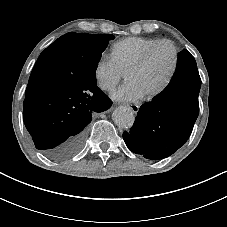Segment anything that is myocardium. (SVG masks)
I'll list each match as a JSON object with an SVG mask.
<instances>
[{
    "label": "myocardium",
    "instance_id": "1",
    "mask_svg": "<svg viewBox=\"0 0 227 227\" xmlns=\"http://www.w3.org/2000/svg\"><path fill=\"white\" fill-rule=\"evenodd\" d=\"M161 44L168 45L171 48L172 53H173L172 64H171L169 72H168L165 80L163 81V83L158 88H156L154 91H152L150 94L146 95V97L149 100L156 98L157 96L162 94L168 88V86L170 85V83L177 71L178 64H179V50H178V47L176 46V44L173 41L168 40V39L157 40L156 42H154L152 45H150L145 50V52L142 54V56L135 62V64L128 71V74H131V73H135V72L142 70L145 67V65L147 64L154 49L158 45H161Z\"/></svg>",
    "mask_w": 227,
    "mask_h": 227
}]
</instances>
